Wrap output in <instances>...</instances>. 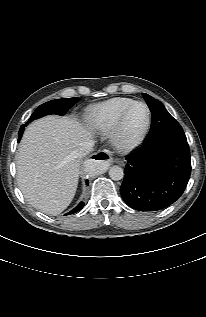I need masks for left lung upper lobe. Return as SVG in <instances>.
<instances>
[{
    "label": "left lung upper lobe",
    "mask_w": 206,
    "mask_h": 317,
    "mask_svg": "<svg viewBox=\"0 0 206 317\" xmlns=\"http://www.w3.org/2000/svg\"><path fill=\"white\" fill-rule=\"evenodd\" d=\"M142 95L152 112L151 129L146 141L165 137L186 138L180 124L168 113L160 101L148 94L142 93Z\"/></svg>",
    "instance_id": "1"
}]
</instances>
